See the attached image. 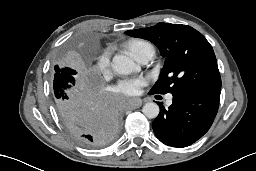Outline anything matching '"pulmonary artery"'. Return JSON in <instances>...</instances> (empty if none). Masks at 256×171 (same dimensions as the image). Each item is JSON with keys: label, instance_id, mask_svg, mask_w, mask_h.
<instances>
[{"label": "pulmonary artery", "instance_id": "obj_1", "mask_svg": "<svg viewBox=\"0 0 256 171\" xmlns=\"http://www.w3.org/2000/svg\"><path fill=\"white\" fill-rule=\"evenodd\" d=\"M154 54H155L154 49L148 50L142 53L137 60L142 64H146L153 58ZM171 102H172V97L168 96L167 103L171 104Z\"/></svg>", "mask_w": 256, "mask_h": 171}]
</instances>
